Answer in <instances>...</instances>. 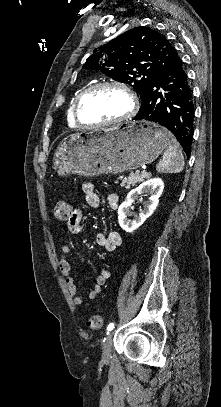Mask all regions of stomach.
<instances>
[{
    "instance_id": "stomach-1",
    "label": "stomach",
    "mask_w": 221,
    "mask_h": 407,
    "mask_svg": "<svg viewBox=\"0 0 221 407\" xmlns=\"http://www.w3.org/2000/svg\"><path fill=\"white\" fill-rule=\"evenodd\" d=\"M171 134L153 122L140 120L63 138L54 152L60 176L118 174L150 164L168 147Z\"/></svg>"
}]
</instances>
